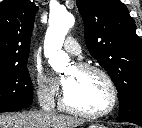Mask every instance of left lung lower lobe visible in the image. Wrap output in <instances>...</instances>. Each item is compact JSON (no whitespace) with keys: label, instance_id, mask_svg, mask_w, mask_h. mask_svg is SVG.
Here are the masks:
<instances>
[{"label":"left lung lower lobe","instance_id":"0a47b994","mask_svg":"<svg viewBox=\"0 0 142 128\" xmlns=\"http://www.w3.org/2000/svg\"><path fill=\"white\" fill-rule=\"evenodd\" d=\"M118 121H122V120H118ZM125 122H132V123H135L137 125H140L142 126V120H124Z\"/></svg>","mask_w":142,"mask_h":128}]
</instances>
